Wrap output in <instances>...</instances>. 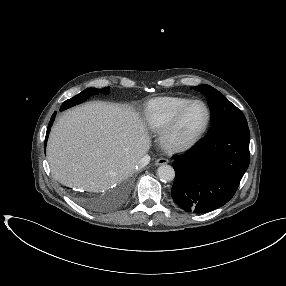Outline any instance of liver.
I'll list each match as a JSON object with an SVG mask.
<instances>
[{
    "label": "liver",
    "mask_w": 286,
    "mask_h": 286,
    "mask_svg": "<svg viewBox=\"0 0 286 286\" xmlns=\"http://www.w3.org/2000/svg\"><path fill=\"white\" fill-rule=\"evenodd\" d=\"M150 137L130 107L101 101L67 111L51 130L47 157L53 177L89 192L131 176Z\"/></svg>",
    "instance_id": "liver-1"
}]
</instances>
